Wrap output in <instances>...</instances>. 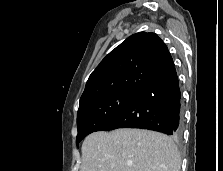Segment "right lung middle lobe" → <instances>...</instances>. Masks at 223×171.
Returning <instances> with one entry per match:
<instances>
[{"instance_id": "1", "label": "right lung middle lobe", "mask_w": 223, "mask_h": 171, "mask_svg": "<svg viewBox=\"0 0 223 171\" xmlns=\"http://www.w3.org/2000/svg\"><path fill=\"white\" fill-rule=\"evenodd\" d=\"M137 94L135 92L111 93L79 107L77 113V146L88 134L97 131L99 127L119 113Z\"/></svg>"}]
</instances>
